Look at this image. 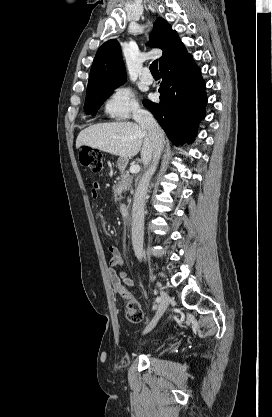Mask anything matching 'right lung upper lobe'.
Instances as JSON below:
<instances>
[{
	"instance_id": "cb5924a9",
	"label": "right lung upper lobe",
	"mask_w": 272,
	"mask_h": 417,
	"mask_svg": "<svg viewBox=\"0 0 272 417\" xmlns=\"http://www.w3.org/2000/svg\"><path fill=\"white\" fill-rule=\"evenodd\" d=\"M149 38L151 47L163 50V55L159 59L160 65L183 46L177 33L162 18L156 20ZM125 80L126 73L120 45L116 40H109L100 46L96 53L89 75L87 94L116 88Z\"/></svg>"
}]
</instances>
